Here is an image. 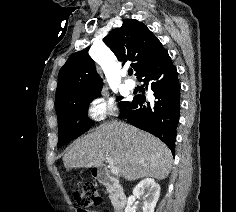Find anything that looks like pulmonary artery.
<instances>
[{
  "instance_id": "e3ab8cb5",
  "label": "pulmonary artery",
  "mask_w": 236,
  "mask_h": 212,
  "mask_svg": "<svg viewBox=\"0 0 236 212\" xmlns=\"http://www.w3.org/2000/svg\"><path fill=\"white\" fill-rule=\"evenodd\" d=\"M124 83H125V86L130 90L134 89L136 86L135 81L132 79H126Z\"/></svg>"
}]
</instances>
